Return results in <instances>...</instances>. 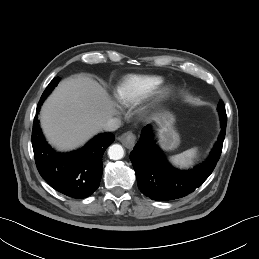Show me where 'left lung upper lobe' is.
Returning <instances> with one entry per match:
<instances>
[{
  "mask_svg": "<svg viewBox=\"0 0 259 259\" xmlns=\"http://www.w3.org/2000/svg\"><path fill=\"white\" fill-rule=\"evenodd\" d=\"M219 108L225 109L224 103H223L222 101H220L219 104H218V109H219Z\"/></svg>",
  "mask_w": 259,
  "mask_h": 259,
  "instance_id": "5c2ea615",
  "label": "left lung upper lobe"
}]
</instances>
